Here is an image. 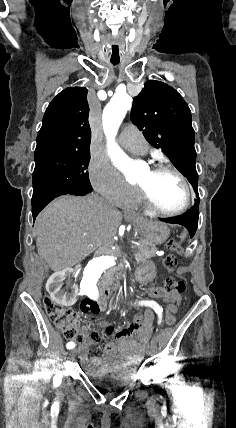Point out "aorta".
I'll return each mask as SVG.
<instances>
[{"label":"aorta","mask_w":236,"mask_h":428,"mask_svg":"<svg viewBox=\"0 0 236 428\" xmlns=\"http://www.w3.org/2000/svg\"><path fill=\"white\" fill-rule=\"evenodd\" d=\"M132 98L128 94H116L103 110V129L107 137L108 154L114 163L124 169L128 178H135V170L128 156L115 143V136L129 109ZM114 265L110 256H100L88 262L83 271L81 286L85 294L97 295V283L106 269Z\"/></svg>","instance_id":"762f6f07"}]
</instances>
